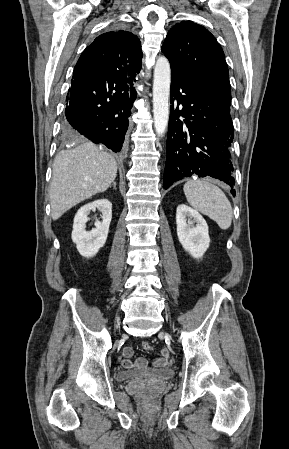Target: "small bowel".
I'll use <instances>...</instances> for the list:
<instances>
[{"label": "small bowel", "mask_w": 289, "mask_h": 449, "mask_svg": "<svg viewBox=\"0 0 289 449\" xmlns=\"http://www.w3.org/2000/svg\"><path fill=\"white\" fill-rule=\"evenodd\" d=\"M134 354V351L131 347H125L123 349V359L121 360V365L125 369H132V368H138V369H144L148 366V362L145 358H138L135 361H132V356ZM170 351L163 347L161 349L160 358H157L154 361L155 367H164L167 362L170 360Z\"/></svg>", "instance_id": "c3829d8e"}]
</instances>
